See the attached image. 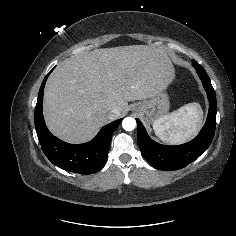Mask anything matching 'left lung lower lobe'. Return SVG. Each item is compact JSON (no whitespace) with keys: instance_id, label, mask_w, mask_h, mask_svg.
<instances>
[{"instance_id":"left-lung-lower-lobe-1","label":"left lung lower lobe","mask_w":236,"mask_h":236,"mask_svg":"<svg viewBox=\"0 0 236 236\" xmlns=\"http://www.w3.org/2000/svg\"><path fill=\"white\" fill-rule=\"evenodd\" d=\"M209 99V112L200 133L190 142L166 146L153 141L139 119L137 121V140L145 160L154 168L173 171L184 168L197 159L210 145L215 133L217 103L216 94L204 68L195 67Z\"/></svg>"}]
</instances>
